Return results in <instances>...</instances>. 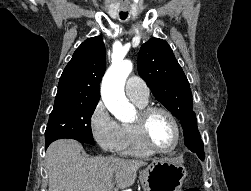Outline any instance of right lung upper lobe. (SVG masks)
I'll list each match as a JSON object with an SVG mask.
<instances>
[{"mask_svg": "<svg viewBox=\"0 0 251 191\" xmlns=\"http://www.w3.org/2000/svg\"><path fill=\"white\" fill-rule=\"evenodd\" d=\"M106 51L100 36L88 38L74 52L58 84L54 107L98 103L106 69Z\"/></svg>", "mask_w": 251, "mask_h": 191, "instance_id": "right-lung-upper-lobe-1", "label": "right lung upper lobe"}]
</instances>
